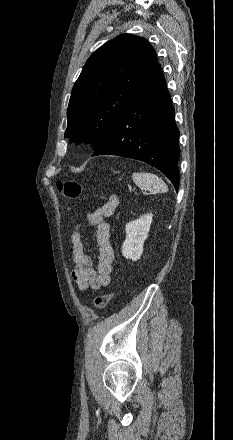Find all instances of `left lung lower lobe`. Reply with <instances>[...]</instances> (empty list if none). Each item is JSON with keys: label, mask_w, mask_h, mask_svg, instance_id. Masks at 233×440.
Listing matches in <instances>:
<instances>
[{"label": "left lung lower lobe", "mask_w": 233, "mask_h": 440, "mask_svg": "<svg viewBox=\"0 0 233 440\" xmlns=\"http://www.w3.org/2000/svg\"><path fill=\"white\" fill-rule=\"evenodd\" d=\"M175 111L161 67L149 78L118 117L107 138L93 153L117 155L146 162L179 187L180 149Z\"/></svg>", "instance_id": "obj_1"}]
</instances>
